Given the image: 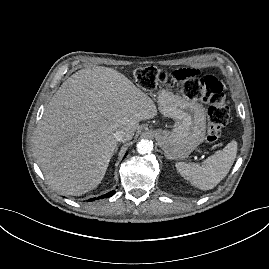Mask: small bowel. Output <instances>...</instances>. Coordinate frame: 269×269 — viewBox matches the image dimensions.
I'll list each match as a JSON object with an SVG mask.
<instances>
[{"instance_id": "c3829d8e", "label": "small bowel", "mask_w": 269, "mask_h": 269, "mask_svg": "<svg viewBox=\"0 0 269 269\" xmlns=\"http://www.w3.org/2000/svg\"><path fill=\"white\" fill-rule=\"evenodd\" d=\"M204 72H195L192 68H186L178 71H174L169 75V80L172 83H178L185 80H192L193 78L197 77H204Z\"/></svg>"}]
</instances>
